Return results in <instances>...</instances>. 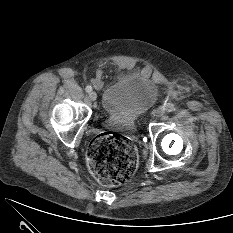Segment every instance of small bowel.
Wrapping results in <instances>:
<instances>
[{"mask_svg": "<svg viewBox=\"0 0 233 233\" xmlns=\"http://www.w3.org/2000/svg\"><path fill=\"white\" fill-rule=\"evenodd\" d=\"M94 83H95L96 85H98V84H99V80L95 79Z\"/></svg>", "mask_w": 233, "mask_h": 233, "instance_id": "small-bowel-1", "label": "small bowel"}]
</instances>
